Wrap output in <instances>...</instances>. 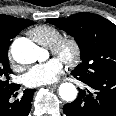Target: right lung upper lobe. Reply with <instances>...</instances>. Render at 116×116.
Wrapping results in <instances>:
<instances>
[{"label":"right lung upper lobe","instance_id":"1","mask_svg":"<svg viewBox=\"0 0 116 116\" xmlns=\"http://www.w3.org/2000/svg\"><path fill=\"white\" fill-rule=\"evenodd\" d=\"M30 20L0 14V42H11L21 30L28 27Z\"/></svg>","mask_w":116,"mask_h":116}]
</instances>
